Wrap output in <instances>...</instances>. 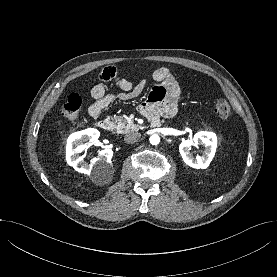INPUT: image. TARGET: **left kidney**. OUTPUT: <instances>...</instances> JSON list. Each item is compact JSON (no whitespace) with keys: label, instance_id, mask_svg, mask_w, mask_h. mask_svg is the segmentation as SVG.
<instances>
[{"label":"left kidney","instance_id":"1","mask_svg":"<svg viewBox=\"0 0 277 277\" xmlns=\"http://www.w3.org/2000/svg\"><path fill=\"white\" fill-rule=\"evenodd\" d=\"M202 145L205 147L202 156L194 157L190 152L191 146ZM217 147V137L212 132L200 131L196 133L193 139L183 141L179 146L183 161L190 167L196 169H205L212 161Z\"/></svg>","mask_w":277,"mask_h":277}]
</instances>
